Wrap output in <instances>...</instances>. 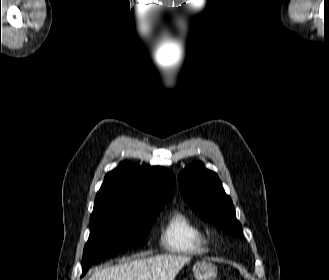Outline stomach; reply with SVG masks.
Here are the masks:
<instances>
[{
  "label": "stomach",
  "instance_id": "0dacf381",
  "mask_svg": "<svg viewBox=\"0 0 329 280\" xmlns=\"http://www.w3.org/2000/svg\"><path fill=\"white\" fill-rule=\"evenodd\" d=\"M193 273L197 280H215L217 268L213 263L199 261L193 265Z\"/></svg>",
  "mask_w": 329,
  "mask_h": 280
}]
</instances>
